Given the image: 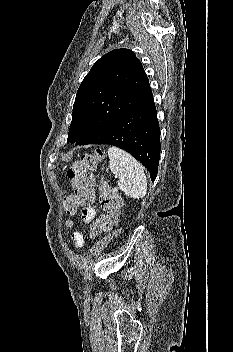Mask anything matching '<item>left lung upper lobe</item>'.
<instances>
[{
    "mask_svg": "<svg viewBox=\"0 0 233 352\" xmlns=\"http://www.w3.org/2000/svg\"><path fill=\"white\" fill-rule=\"evenodd\" d=\"M151 95L135 54L124 48L108 52L96 61L77 91L67 142L89 144Z\"/></svg>",
    "mask_w": 233,
    "mask_h": 352,
    "instance_id": "left-lung-upper-lobe-1",
    "label": "left lung upper lobe"
}]
</instances>
